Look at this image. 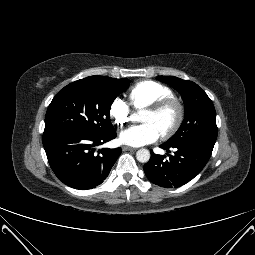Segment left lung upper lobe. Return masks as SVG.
Wrapping results in <instances>:
<instances>
[{"label":"left lung upper lobe","mask_w":255,"mask_h":255,"mask_svg":"<svg viewBox=\"0 0 255 255\" xmlns=\"http://www.w3.org/2000/svg\"><path fill=\"white\" fill-rule=\"evenodd\" d=\"M157 79L176 88L185 106L180 128L165 143L171 146L201 144L213 148L218 130L214 105L207 94L192 81L174 76H158Z\"/></svg>","instance_id":"5c2ea615"}]
</instances>
